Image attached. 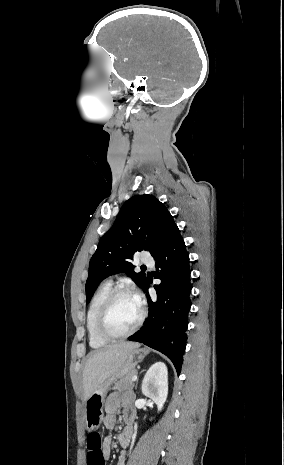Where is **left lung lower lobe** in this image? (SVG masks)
<instances>
[{"mask_svg":"<svg viewBox=\"0 0 284 465\" xmlns=\"http://www.w3.org/2000/svg\"><path fill=\"white\" fill-rule=\"evenodd\" d=\"M156 261L154 285L157 299L152 300L147 291L146 278L141 286L147 293L149 317L144 327L129 338L165 354L180 374L186 348L188 313L191 307V270L184 240L177 229L164 250L154 257Z\"/></svg>","mask_w":284,"mask_h":465,"instance_id":"obj_1","label":"left lung lower lobe"}]
</instances>
